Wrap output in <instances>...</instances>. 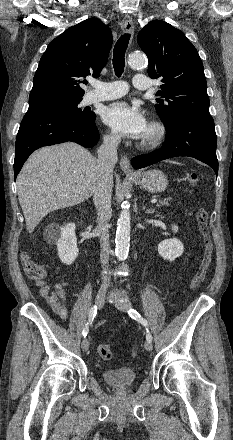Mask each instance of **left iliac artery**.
I'll list each match as a JSON object with an SVG mask.
<instances>
[{
	"label": "left iliac artery",
	"instance_id": "1",
	"mask_svg": "<svg viewBox=\"0 0 233 440\" xmlns=\"http://www.w3.org/2000/svg\"><path fill=\"white\" fill-rule=\"evenodd\" d=\"M128 314H129L130 317H132L133 319L139 321V322H140L143 326H145L146 329H147V327H148V322L146 321V319L142 318V317L140 316V314H139L136 310L130 308L129 311H128ZM146 339H147V341H151V342H152V335L149 333L148 329H147V336H146Z\"/></svg>",
	"mask_w": 233,
	"mask_h": 440
}]
</instances>
